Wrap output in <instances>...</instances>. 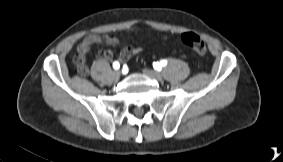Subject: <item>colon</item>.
<instances>
[{
    "label": "colon",
    "mask_w": 283,
    "mask_h": 162,
    "mask_svg": "<svg viewBox=\"0 0 283 162\" xmlns=\"http://www.w3.org/2000/svg\"><path fill=\"white\" fill-rule=\"evenodd\" d=\"M182 42L189 46L197 54L204 56L206 54V44L202 38L193 32H186L181 35ZM74 63L79 72H84L86 69L85 61L83 58L76 56Z\"/></svg>",
    "instance_id": "obj_1"
}]
</instances>
